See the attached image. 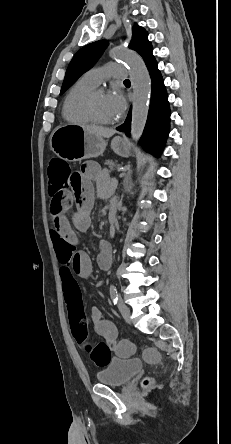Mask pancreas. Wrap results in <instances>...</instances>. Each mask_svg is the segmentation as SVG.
<instances>
[{"label":"pancreas","mask_w":231,"mask_h":444,"mask_svg":"<svg viewBox=\"0 0 231 444\" xmlns=\"http://www.w3.org/2000/svg\"><path fill=\"white\" fill-rule=\"evenodd\" d=\"M106 165H107V167L110 169V170H112L113 168H117L119 165L116 163V162H114L113 160H107L106 161Z\"/></svg>","instance_id":"cf45deb5"}]
</instances>
